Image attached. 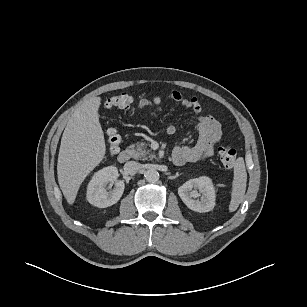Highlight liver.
<instances>
[{
	"instance_id": "6515ba94",
	"label": "liver",
	"mask_w": 307,
	"mask_h": 307,
	"mask_svg": "<svg viewBox=\"0 0 307 307\" xmlns=\"http://www.w3.org/2000/svg\"><path fill=\"white\" fill-rule=\"evenodd\" d=\"M100 105V97L85 101L74 111L62 135L57 177L70 205L75 202L85 178L105 157L106 144L98 114Z\"/></svg>"
}]
</instances>
